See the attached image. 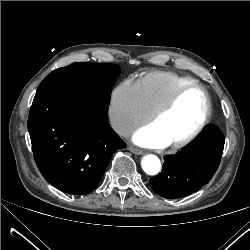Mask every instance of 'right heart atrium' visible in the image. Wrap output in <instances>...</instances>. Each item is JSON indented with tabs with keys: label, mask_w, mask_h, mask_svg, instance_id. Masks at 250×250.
Returning <instances> with one entry per match:
<instances>
[{
	"label": "right heart atrium",
	"mask_w": 250,
	"mask_h": 250,
	"mask_svg": "<svg viewBox=\"0 0 250 250\" xmlns=\"http://www.w3.org/2000/svg\"><path fill=\"white\" fill-rule=\"evenodd\" d=\"M151 117L139 93L136 83L131 79L120 82L111 92L109 119L113 130L126 136Z\"/></svg>",
	"instance_id": "right-heart-atrium-1"
}]
</instances>
